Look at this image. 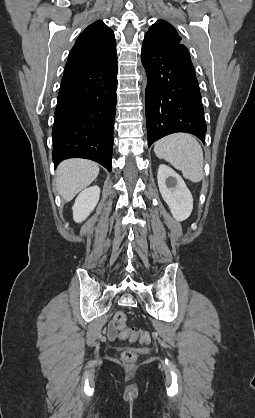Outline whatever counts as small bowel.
I'll return each mask as SVG.
<instances>
[{"mask_svg": "<svg viewBox=\"0 0 255 418\" xmlns=\"http://www.w3.org/2000/svg\"><path fill=\"white\" fill-rule=\"evenodd\" d=\"M108 335L110 338H115L117 335V329L114 324H111L108 329Z\"/></svg>", "mask_w": 255, "mask_h": 418, "instance_id": "small-bowel-1", "label": "small bowel"}]
</instances>
